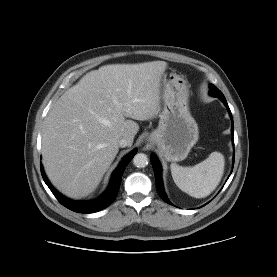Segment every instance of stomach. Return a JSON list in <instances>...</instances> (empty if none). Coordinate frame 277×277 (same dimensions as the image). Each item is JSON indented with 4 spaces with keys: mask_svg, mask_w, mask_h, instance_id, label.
Returning <instances> with one entry per match:
<instances>
[{
    "mask_svg": "<svg viewBox=\"0 0 277 277\" xmlns=\"http://www.w3.org/2000/svg\"><path fill=\"white\" fill-rule=\"evenodd\" d=\"M163 109L159 124L147 138L167 161L184 160L199 138L198 125L188 107L187 81L176 73L163 75Z\"/></svg>",
    "mask_w": 277,
    "mask_h": 277,
    "instance_id": "0dacf381",
    "label": "stomach"
}]
</instances>
